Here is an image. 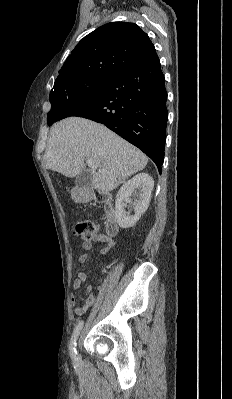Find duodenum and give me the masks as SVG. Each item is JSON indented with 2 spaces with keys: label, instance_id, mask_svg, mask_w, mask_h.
<instances>
[{
  "label": "duodenum",
  "instance_id": "obj_1",
  "mask_svg": "<svg viewBox=\"0 0 232 399\" xmlns=\"http://www.w3.org/2000/svg\"><path fill=\"white\" fill-rule=\"evenodd\" d=\"M78 195L83 202L97 201L104 204V211L107 218V234L109 236H114L117 233L118 227L114 219V209L111 197L108 194H99L90 188L80 189Z\"/></svg>",
  "mask_w": 232,
  "mask_h": 399
}]
</instances>
